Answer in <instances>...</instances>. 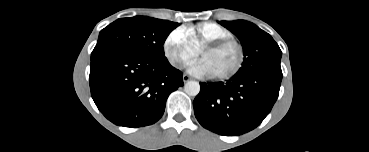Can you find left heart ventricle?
Wrapping results in <instances>:
<instances>
[{
    "instance_id": "left-heart-ventricle-1",
    "label": "left heart ventricle",
    "mask_w": 369,
    "mask_h": 152,
    "mask_svg": "<svg viewBox=\"0 0 369 152\" xmlns=\"http://www.w3.org/2000/svg\"><path fill=\"white\" fill-rule=\"evenodd\" d=\"M201 60L209 67L211 76L230 71L236 64L238 52L234 45H226L217 50H206L200 54Z\"/></svg>"
}]
</instances>
